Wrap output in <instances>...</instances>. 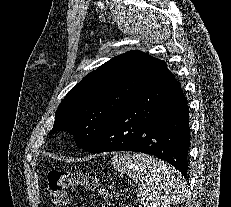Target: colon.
Segmentation results:
<instances>
[{"label":"colon","mask_w":231,"mask_h":207,"mask_svg":"<svg viewBox=\"0 0 231 207\" xmlns=\"http://www.w3.org/2000/svg\"><path fill=\"white\" fill-rule=\"evenodd\" d=\"M49 199L51 207H62L67 200V191L71 188L83 187L104 199L103 207H111L109 192L100 185L97 178L77 171L51 169L47 174Z\"/></svg>","instance_id":"colon-1"}]
</instances>
